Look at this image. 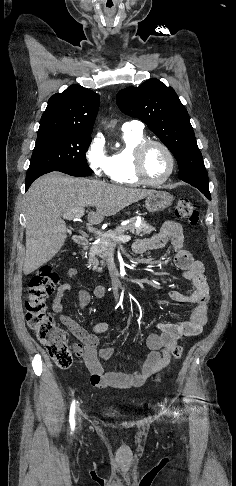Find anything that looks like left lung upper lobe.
Instances as JSON below:
<instances>
[{"mask_svg":"<svg viewBox=\"0 0 236 486\" xmlns=\"http://www.w3.org/2000/svg\"><path fill=\"white\" fill-rule=\"evenodd\" d=\"M120 110L142 120L177 159L179 179L211 199L208 176L187 110L172 87L152 78L119 91Z\"/></svg>","mask_w":236,"mask_h":486,"instance_id":"left-lung-upper-lobe-1","label":"left lung upper lobe"}]
</instances>
